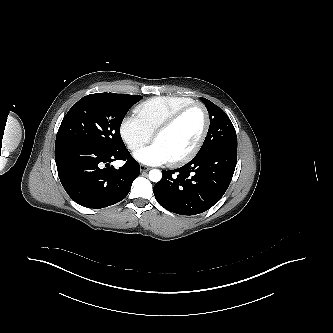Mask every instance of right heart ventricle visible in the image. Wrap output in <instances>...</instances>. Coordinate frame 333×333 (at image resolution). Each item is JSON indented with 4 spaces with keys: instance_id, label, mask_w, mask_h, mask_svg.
I'll use <instances>...</instances> for the list:
<instances>
[{
    "instance_id": "e07e8e85",
    "label": "right heart ventricle",
    "mask_w": 333,
    "mask_h": 333,
    "mask_svg": "<svg viewBox=\"0 0 333 333\" xmlns=\"http://www.w3.org/2000/svg\"><path fill=\"white\" fill-rule=\"evenodd\" d=\"M194 102L184 96H157L140 103L135 108V114L143 125L152 133L178 109Z\"/></svg>"
}]
</instances>
